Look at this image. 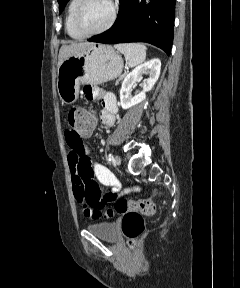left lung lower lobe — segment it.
I'll list each match as a JSON object with an SVG mask.
<instances>
[{
    "mask_svg": "<svg viewBox=\"0 0 240 288\" xmlns=\"http://www.w3.org/2000/svg\"><path fill=\"white\" fill-rule=\"evenodd\" d=\"M113 26L89 41L99 43L147 42L168 55L172 48L176 0H119Z\"/></svg>",
    "mask_w": 240,
    "mask_h": 288,
    "instance_id": "left-lung-lower-lobe-1",
    "label": "left lung lower lobe"
}]
</instances>
